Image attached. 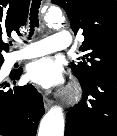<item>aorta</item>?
I'll use <instances>...</instances> for the list:
<instances>
[{"label": "aorta", "mask_w": 117, "mask_h": 136, "mask_svg": "<svg viewBox=\"0 0 117 136\" xmlns=\"http://www.w3.org/2000/svg\"><path fill=\"white\" fill-rule=\"evenodd\" d=\"M61 10L51 8L45 16V21L54 27H60L64 22ZM64 113L60 106L52 107L42 118L38 136H64Z\"/></svg>", "instance_id": "aorta-1"}]
</instances>
